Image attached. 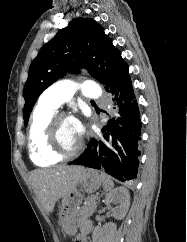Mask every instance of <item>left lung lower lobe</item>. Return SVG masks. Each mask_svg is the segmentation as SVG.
<instances>
[{
    "mask_svg": "<svg viewBox=\"0 0 187 242\" xmlns=\"http://www.w3.org/2000/svg\"><path fill=\"white\" fill-rule=\"evenodd\" d=\"M118 105V114L102 128V137L92 138L84 152L69 164L101 169L120 181L136 178L141 152V120L130 76L108 90Z\"/></svg>",
    "mask_w": 187,
    "mask_h": 242,
    "instance_id": "left-lung-lower-lobe-1",
    "label": "left lung lower lobe"
}]
</instances>
